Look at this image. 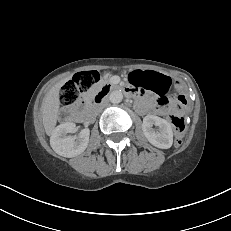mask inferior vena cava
<instances>
[{
    "label": "inferior vena cava",
    "instance_id": "obj_1",
    "mask_svg": "<svg viewBox=\"0 0 231 231\" xmlns=\"http://www.w3.org/2000/svg\"><path fill=\"white\" fill-rule=\"evenodd\" d=\"M106 106V103H104L100 108L99 111L102 110Z\"/></svg>",
    "mask_w": 231,
    "mask_h": 231
}]
</instances>
